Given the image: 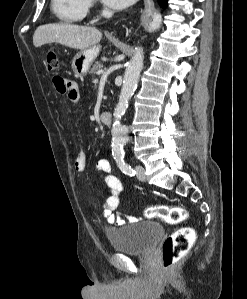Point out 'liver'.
<instances>
[{"label": "liver", "instance_id": "obj_1", "mask_svg": "<svg viewBox=\"0 0 247 299\" xmlns=\"http://www.w3.org/2000/svg\"><path fill=\"white\" fill-rule=\"evenodd\" d=\"M102 39V33L95 27L79 26L68 23H55L39 26L33 35L35 47L59 43L66 47L85 50Z\"/></svg>", "mask_w": 247, "mask_h": 299}]
</instances>
